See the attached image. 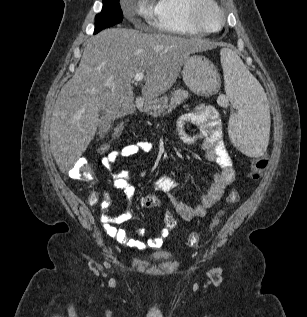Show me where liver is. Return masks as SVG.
I'll return each mask as SVG.
<instances>
[{"instance_id":"6515ba94","label":"liver","mask_w":307,"mask_h":317,"mask_svg":"<svg viewBox=\"0 0 307 317\" xmlns=\"http://www.w3.org/2000/svg\"><path fill=\"white\" fill-rule=\"evenodd\" d=\"M215 47L200 38L126 28L91 37L51 118L50 149L60 171L67 173L85 152L99 126L100 111L111 120L135 111L131 82L137 73L146 74L143 97L155 100L172 87L190 54Z\"/></svg>"}]
</instances>
